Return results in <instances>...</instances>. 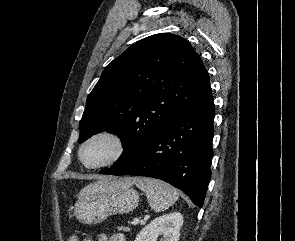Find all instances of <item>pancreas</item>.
<instances>
[{"instance_id":"cf45deb5","label":"pancreas","mask_w":295,"mask_h":241,"mask_svg":"<svg viewBox=\"0 0 295 241\" xmlns=\"http://www.w3.org/2000/svg\"><path fill=\"white\" fill-rule=\"evenodd\" d=\"M118 229H119V230H124V231H128V230H129V228H128V227H123V226H121V227H118Z\"/></svg>"}]
</instances>
